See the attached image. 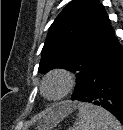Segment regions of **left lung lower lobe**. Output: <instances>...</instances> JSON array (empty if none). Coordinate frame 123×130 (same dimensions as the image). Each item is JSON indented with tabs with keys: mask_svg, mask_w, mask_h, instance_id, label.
Returning <instances> with one entry per match:
<instances>
[{
	"mask_svg": "<svg viewBox=\"0 0 123 130\" xmlns=\"http://www.w3.org/2000/svg\"><path fill=\"white\" fill-rule=\"evenodd\" d=\"M75 100L102 106L123 124V50L117 39L94 62Z\"/></svg>",
	"mask_w": 123,
	"mask_h": 130,
	"instance_id": "1",
	"label": "left lung lower lobe"
}]
</instances>
